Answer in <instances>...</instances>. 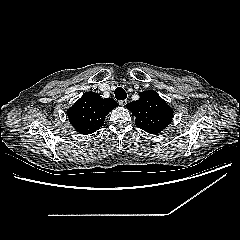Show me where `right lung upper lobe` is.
I'll return each mask as SVG.
<instances>
[{
  "mask_svg": "<svg viewBox=\"0 0 240 240\" xmlns=\"http://www.w3.org/2000/svg\"><path fill=\"white\" fill-rule=\"evenodd\" d=\"M119 104L112 98H102L98 93L87 92L68 109L71 125L81 134H91L104 123L106 115Z\"/></svg>",
  "mask_w": 240,
  "mask_h": 240,
  "instance_id": "obj_1",
  "label": "right lung upper lobe"
}]
</instances>
